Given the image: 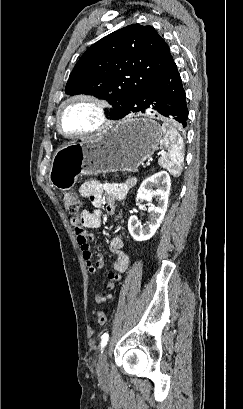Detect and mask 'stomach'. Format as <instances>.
Returning a JSON list of instances; mask_svg holds the SVG:
<instances>
[{"instance_id": "stomach-1", "label": "stomach", "mask_w": 243, "mask_h": 409, "mask_svg": "<svg viewBox=\"0 0 243 409\" xmlns=\"http://www.w3.org/2000/svg\"><path fill=\"white\" fill-rule=\"evenodd\" d=\"M163 131L150 117L129 116L107 133L59 148L49 172L51 184L70 190L79 175L134 171L156 151Z\"/></svg>"}]
</instances>
